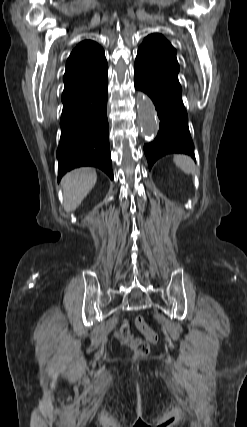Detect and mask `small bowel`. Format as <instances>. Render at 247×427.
<instances>
[{"label": "small bowel", "instance_id": "small-bowel-1", "mask_svg": "<svg viewBox=\"0 0 247 427\" xmlns=\"http://www.w3.org/2000/svg\"><path fill=\"white\" fill-rule=\"evenodd\" d=\"M129 336H130L129 323L125 320L123 321L120 329L116 332V337L121 342H125L129 339Z\"/></svg>", "mask_w": 247, "mask_h": 427}]
</instances>
